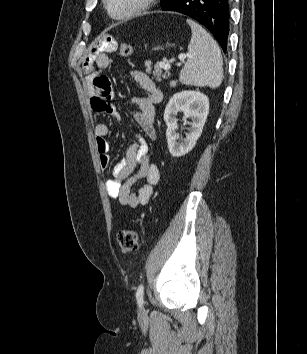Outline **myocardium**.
Returning <instances> with one entry per match:
<instances>
[{
    "instance_id": "obj_1",
    "label": "myocardium",
    "mask_w": 307,
    "mask_h": 354,
    "mask_svg": "<svg viewBox=\"0 0 307 354\" xmlns=\"http://www.w3.org/2000/svg\"><path fill=\"white\" fill-rule=\"evenodd\" d=\"M103 1H104L105 10L109 15V17H111L114 20H126L149 9L155 0H138L131 9L121 14H114L111 11L110 0H103Z\"/></svg>"
}]
</instances>
